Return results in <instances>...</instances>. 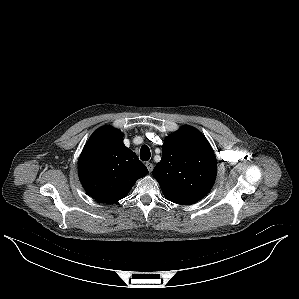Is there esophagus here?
<instances>
[{"label":"esophagus","instance_id":"1","mask_svg":"<svg viewBox=\"0 0 299 299\" xmlns=\"http://www.w3.org/2000/svg\"><path fill=\"white\" fill-rule=\"evenodd\" d=\"M145 166L147 167L149 173H151L153 170V164L150 162H146Z\"/></svg>","mask_w":299,"mask_h":299}]
</instances>
